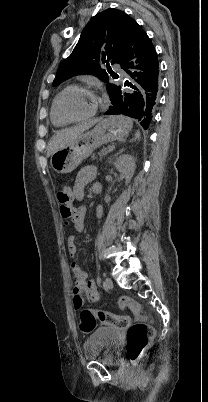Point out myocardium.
Here are the masks:
<instances>
[{"instance_id": "f54148a6", "label": "myocardium", "mask_w": 208, "mask_h": 402, "mask_svg": "<svg viewBox=\"0 0 208 402\" xmlns=\"http://www.w3.org/2000/svg\"><path fill=\"white\" fill-rule=\"evenodd\" d=\"M72 89H82V90H86V91H91L89 89V86L86 85H79V84H73V85H69L66 88H64L56 97V107L57 110L59 112V114L61 115V117L69 122H79V121H86L89 120L90 118H92L97 112L98 110L104 105V103L106 102V99L104 97V94H96L98 95V102L96 103V105L94 106V108L86 115L83 116H78V117H73L68 115L61 107L60 101L62 96L68 92L69 90Z\"/></svg>"}]
</instances>
